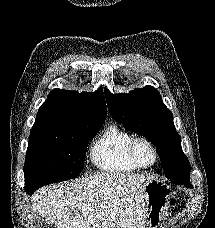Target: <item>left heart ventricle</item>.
Instances as JSON below:
<instances>
[{
  "label": "left heart ventricle",
  "instance_id": "1",
  "mask_svg": "<svg viewBox=\"0 0 215 228\" xmlns=\"http://www.w3.org/2000/svg\"><path fill=\"white\" fill-rule=\"evenodd\" d=\"M137 159L140 162V164L144 166H149L154 161V155L149 147L142 144L137 149Z\"/></svg>",
  "mask_w": 215,
  "mask_h": 228
}]
</instances>
